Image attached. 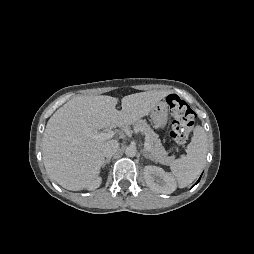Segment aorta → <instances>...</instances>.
<instances>
[{
	"instance_id": "obj_1",
	"label": "aorta",
	"mask_w": 254,
	"mask_h": 254,
	"mask_svg": "<svg viewBox=\"0 0 254 254\" xmlns=\"http://www.w3.org/2000/svg\"><path fill=\"white\" fill-rule=\"evenodd\" d=\"M137 153V149L134 145H129L125 149V154L128 157H134Z\"/></svg>"
}]
</instances>
